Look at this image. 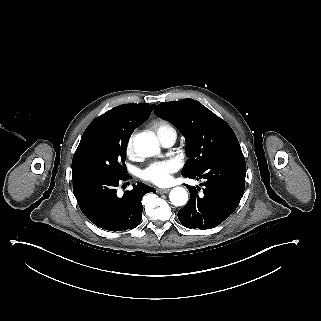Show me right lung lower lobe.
<instances>
[{"label":"right lung lower lobe","mask_w":321,"mask_h":321,"mask_svg":"<svg viewBox=\"0 0 321 321\" xmlns=\"http://www.w3.org/2000/svg\"><path fill=\"white\" fill-rule=\"evenodd\" d=\"M73 192L83 214L97 227L109 231L134 229L142 219V198L155 192L153 187L141 182L133 185L119 198L116 187L129 176L115 177L99 171L77 170L72 172Z\"/></svg>","instance_id":"right-lung-lower-lobe-1"}]
</instances>
